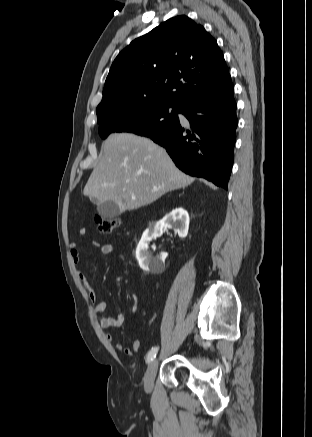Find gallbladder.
I'll return each mask as SVG.
<instances>
[{"label": "gallbladder", "instance_id": "obj_1", "mask_svg": "<svg viewBox=\"0 0 312 437\" xmlns=\"http://www.w3.org/2000/svg\"><path fill=\"white\" fill-rule=\"evenodd\" d=\"M91 200L95 203H98L97 199L95 198H91ZM97 211L101 217L106 219L118 217L122 213L120 206L111 200L98 204Z\"/></svg>", "mask_w": 312, "mask_h": 437}]
</instances>
